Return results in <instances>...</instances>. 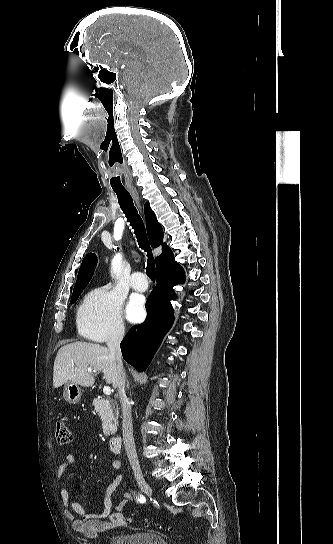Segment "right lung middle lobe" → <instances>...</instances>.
Returning a JSON list of instances; mask_svg holds the SVG:
<instances>
[{"mask_svg":"<svg viewBox=\"0 0 333 544\" xmlns=\"http://www.w3.org/2000/svg\"><path fill=\"white\" fill-rule=\"evenodd\" d=\"M81 291L72 294L71 304L75 303L80 295Z\"/></svg>","mask_w":333,"mask_h":544,"instance_id":"right-lung-middle-lobe-1","label":"right lung middle lobe"}]
</instances>
